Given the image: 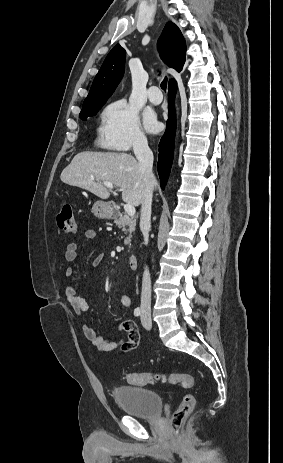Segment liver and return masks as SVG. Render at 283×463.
<instances>
[{
    "instance_id": "1",
    "label": "liver",
    "mask_w": 283,
    "mask_h": 463,
    "mask_svg": "<svg viewBox=\"0 0 283 463\" xmlns=\"http://www.w3.org/2000/svg\"><path fill=\"white\" fill-rule=\"evenodd\" d=\"M60 179L68 185L90 191L101 199L110 196V190L102 181H109L119 187L123 201L128 204L138 206L143 199L140 164L127 153L89 151L78 153L62 171Z\"/></svg>"
}]
</instances>
